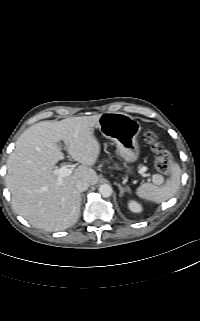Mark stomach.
I'll use <instances>...</instances> for the list:
<instances>
[{
    "mask_svg": "<svg viewBox=\"0 0 200 321\" xmlns=\"http://www.w3.org/2000/svg\"><path fill=\"white\" fill-rule=\"evenodd\" d=\"M96 127L104 137L115 142L117 154L125 161L130 172L127 164L136 161L139 155V123L125 113L106 112L100 116Z\"/></svg>",
    "mask_w": 200,
    "mask_h": 321,
    "instance_id": "1",
    "label": "stomach"
}]
</instances>
